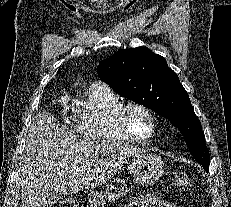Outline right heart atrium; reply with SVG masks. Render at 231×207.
Returning a JSON list of instances; mask_svg holds the SVG:
<instances>
[{"mask_svg": "<svg viewBox=\"0 0 231 207\" xmlns=\"http://www.w3.org/2000/svg\"><path fill=\"white\" fill-rule=\"evenodd\" d=\"M68 97L65 95H60L57 100L56 103L58 105V107L61 109L63 116L66 115V108L68 106Z\"/></svg>", "mask_w": 231, "mask_h": 207, "instance_id": "obj_1", "label": "right heart atrium"}]
</instances>
